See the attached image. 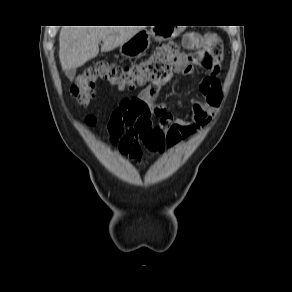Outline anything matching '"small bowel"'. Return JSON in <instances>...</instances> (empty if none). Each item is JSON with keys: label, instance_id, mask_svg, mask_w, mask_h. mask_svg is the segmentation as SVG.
<instances>
[{"label": "small bowel", "instance_id": "obj_1", "mask_svg": "<svg viewBox=\"0 0 292 292\" xmlns=\"http://www.w3.org/2000/svg\"><path fill=\"white\" fill-rule=\"evenodd\" d=\"M199 47H203L204 50L196 57L195 61L206 71L200 84L203 99L192 100L191 116L188 120L175 117L165 106H161L156 118L158 124L155 125L163 134L161 152L174 151L182 140L195 138L211 124L213 115L221 104L222 92L219 80L222 64L221 43L218 41L217 44H212L211 40L207 38L201 40ZM169 80L170 76L161 81L159 87L164 86ZM118 146L128 163L141 166L144 146L141 132L137 127L129 126L119 139Z\"/></svg>", "mask_w": 292, "mask_h": 292}]
</instances>
